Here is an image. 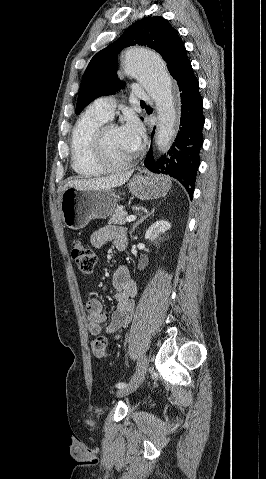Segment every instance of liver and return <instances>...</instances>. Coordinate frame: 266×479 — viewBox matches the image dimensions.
Listing matches in <instances>:
<instances>
[{"label": "liver", "mask_w": 266, "mask_h": 479, "mask_svg": "<svg viewBox=\"0 0 266 479\" xmlns=\"http://www.w3.org/2000/svg\"><path fill=\"white\" fill-rule=\"evenodd\" d=\"M132 175V172H126L122 174L111 175L108 177H100L93 179H74L68 181L63 190L67 188H76L80 190H99V189H112L123 185L127 182Z\"/></svg>", "instance_id": "obj_1"}]
</instances>
